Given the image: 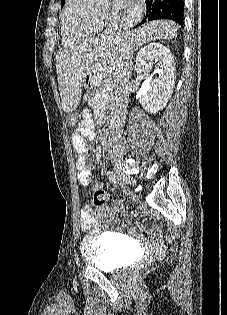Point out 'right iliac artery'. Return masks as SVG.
Instances as JSON below:
<instances>
[{
    "mask_svg": "<svg viewBox=\"0 0 227 315\" xmlns=\"http://www.w3.org/2000/svg\"><path fill=\"white\" fill-rule=\"evenodd\" d=\"M108 179L113 182L114 184L118 183L119 178L118 176L113 172V171H109L107 173Z\"/></svg>",
    "mask_w": 227,
    "mask_h": 315,
    "instance_id": "1",
    "label": "right iliac artery"
}]
</instances>
